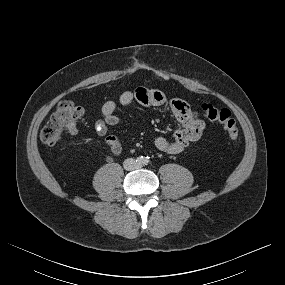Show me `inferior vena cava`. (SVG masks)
Returning <instances> with one entry per match:
<instances>
[{
	"label": "inferior vena cava",
	"instance_id": "602c4592",
	"mask_svg": "<svg viewBox=\"0 0 285 285\" xmlns=\"http://www.w3.org/2000/svg\"><path fill=\"white\" fill-rule=\"evenodd\" d=\"M124 168L126 170H134L137 168L136 162L133 158H128L124 161Z\"/></svg>",
	"mask_w": 285,
	"mask_h": 285
}]
</instances>
